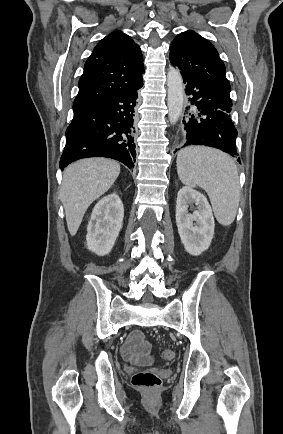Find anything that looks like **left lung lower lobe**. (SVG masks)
Returning <instances> with one entry per match:
<instances>
[{"label": "left lung lower lobe", "instance_id": "1", "mask_svg": "<svg viewBox=\"0 0 283 434\" xmlns=\"http://www.w3.org/2000/svg\"><path fill=\"white\" fill-rule=\"evenodd\" d=\"M181 74L190 104L182 121L184 146H210L236 157L237 130L230 118V92L184 71ZM236 160L240 162V158Z\"/></svg>", "mask_w": 283, "mask_h": 434}]
</instances>
